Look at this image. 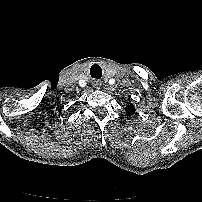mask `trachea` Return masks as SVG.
<instances>
[{"instance_id":"trachea-1","label":"trachea","mask_w":202,"mask_h":202,"mask_svg":"<svg viewBox=\"0 0 202 202\" xmlns=\"http://www.w3.org/2000/svg\"><path fill=\"white\" fill-rule=\"evenodd\" d=\"M90 74L92 78L100 79L102 76V70L99 65L94 64L90 69Z\"/></svg>"}]
</instances>
